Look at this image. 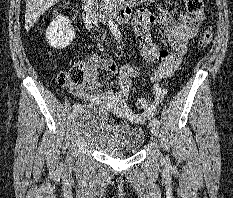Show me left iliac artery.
<instances>
[{"mask_svg":"<svg viewBox=\"0 0 233 198\" xmlns=\"http://www.w3.org/2000/svg\"><path fill=\"white\" fill-rule=\"evenodd\" d=\"M155 89L157 90V92L159 91L160 92V88L159 87H155ZM163 92L165 93L166 91H165V89H163ZM152 123L153 124H155V125H159L160 124V122H159V120L157 119V118H154L153 120H152Z\"/></svg>","mask_w":233,"mask_h":198,"instance_id":"1","label":"left iliac artery"}]
</instances>
